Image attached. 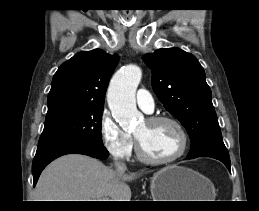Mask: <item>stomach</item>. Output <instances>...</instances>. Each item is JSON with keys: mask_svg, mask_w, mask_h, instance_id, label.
<instances>
[{"mask_svg": "<svg viewBox=\"0 0 259 211\" xmlns=\"http://www.w3.org/2000/svg\"><path fill=\"white\" fill-rule=\"evenodd\" d=\"M153 201H212L213 184L189 168L172 165L153 175L150 183Z\"/></svg>", "mask_w": 259, "mask_h": 211, "instance_id": "stomach-1", "label": "stomach"}]
</instances>
